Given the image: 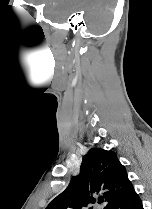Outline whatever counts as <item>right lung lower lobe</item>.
<instances>
[{
    "label": "right lung lower lobe",
    "instance_id": "98d812e1",
    "mask_svg": "<svg viewBox=\"0 0 152 209\" xmlns=\"http://www.w3.org/2000/svg\"><path fill=\"white\" fill-rule=\"evenodd\" d=\"M109 209H143L141 199L133 186Z\"/></svg>",
    "mask_w": 152,
    "mask_h": 209
}]
</instances>
